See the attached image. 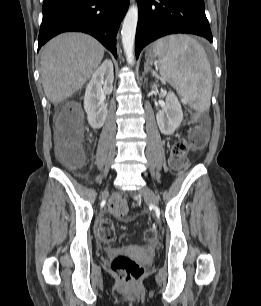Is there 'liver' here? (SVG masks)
Listing matches in <instances>:
<instances>
[{
  "label": "liver",
  "instance_id": "6515ba94",
  "mask_svg": "<svg viewBox=\"0 0 261 306\" xmlns=\"http://www.w3.org/2000/svg\"><path fill=\"white\" fill-rule=\"evenodd\" d=\"M104 56V47L83 33H65L50 40L41 54V79L47 99L66 100L89 80Z\"/></svg>",
  "mask_w": 261,
  "mask_h": 306
}]
</instances>
